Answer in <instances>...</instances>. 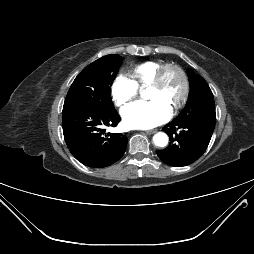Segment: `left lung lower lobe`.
Listing matches in <instances>:
<instances>
[{"label": "left lung lower lobe", "instance_id": "obj_1", "mask_svg": "<svg viewBox=\"0 0 254 254\" xmlns=\"http://www.w3.org/2000/svg\"><path fill=\"white\" fill-rule=\"evenodd\" d=\"M216 121L215 107H186L163 130L170 145L157 151L159 158L175 167L187 166L200 158L208 147Z\"/></svg>", "mask_w": 254, "mask_h": 254}]
</instances>
